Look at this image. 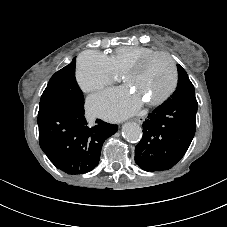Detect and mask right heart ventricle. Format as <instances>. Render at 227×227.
I'll return each instance as SVG.
<instances>
[{
  "mask_svg": "<svg viewBox=\"0 0 227 227\" xmlns=\"http://www.w3.org/2000/svg\"><path fill=\"white\" fill-rule=\"evenodd\" d=\"M156 52L153 48L143 46H121L112 51L108 58L113 70L124 73L131 65L142 57Z\"/></svg>",
  "mask_w": 227,
  "mask_h": 227,
  "instance_id": "e07e8e85",
  "label": "right heart ventricle"
}]
</instances>
